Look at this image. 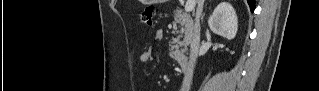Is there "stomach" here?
Here are the masks:
<instances>
[{"instance_id":"0dacf381","label":"stomach","mask_w":319,"mask_h":91,"mask_svg":"<svg viewBox=\"0 0 319 91\" xmlns=\"http://www.w3.org/2000/svg\"><path fill=\"white\" fill-rule=\"evenodd\" d=\"M161 0H144V2L146 3V4H153V3H158V2H160Z\"/></svg>"}]
</instances>
